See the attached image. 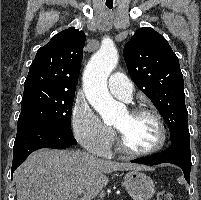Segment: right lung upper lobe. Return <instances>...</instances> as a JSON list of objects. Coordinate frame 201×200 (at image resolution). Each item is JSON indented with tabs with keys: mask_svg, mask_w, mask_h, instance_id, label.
<instances>
[{
	"mask_svg": "<svg viewBox=\"0 0 201 200\" xmlns=\"http://www.w3.org/2000/svg\"><path fill=\"white\" fill-rule=\"evenodd\" d=\"M86 36L71 27L41 47L30 65L24 93L57 91L75 94Z\"/></svg>",
	"mask_w": 201,
	"mask_h": 200,
	"instance_id": "1",
	"label": "right lung upper lobe"
}]
</instances>
